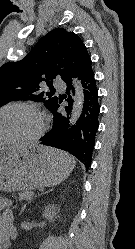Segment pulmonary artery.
I'll return each mask as SVG.
<instances>
[{
	"label": "pulmonary artery",
	"instance_id": "obj_1",
	"mask_svg": "<svg viewBox=\"0 0 135 249\" xmlns=\"http://www.w3.org/2000/svg\"><path fill=\"white\" fill-rule=\"evenodd\" d=\"M54 86H55V88H59L60 89V88H64L65 84L62 81L56 80L54 82Z\"/></svg>",
	"mask_w": 135,
	"mask_h": 249
}]
</instances>
